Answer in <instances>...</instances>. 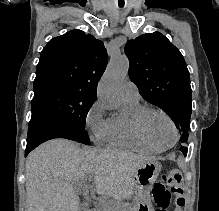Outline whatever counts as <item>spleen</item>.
Here are the masks:
<instances>
[{
	"label": "spleen",
	"instance_id": "1",
	"mask_svg": "<svg viewBox=\"0 0 219 211\" xmlns=\"http://www.w3.org/2000/svg\"><path fill=\"white\" fill-rule=\"evenodd\" d=\"M177 163H178V167H180V169H183V167L185 165V161H184L183 157H178Z\"/></svg>",
	"mask_w": 219,
	"mask_h": 211
}]
</instances>
